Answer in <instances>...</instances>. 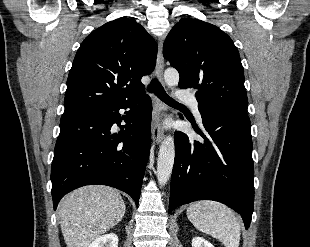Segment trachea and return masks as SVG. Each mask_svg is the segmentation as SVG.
I'll return each instance as SVG.
<instances>
[{
  "instance_id": "3493384b",
  "label": "trachea",
  "mask_w": 310,
  "mask_h": 247,
  "mask_svg": "<svg viewBox=\"0 0 310 247\" xmlns=\"http://www.w3.org/2000/svg\"><path fill=\"white\" fill-rule=\"evenodd\" d=\"M148 91L154 93L159 99L169 105H180L177 101L172 99L164 90L160 82L154 78L148 85Z\"/></svg>"
}]
</instances>
